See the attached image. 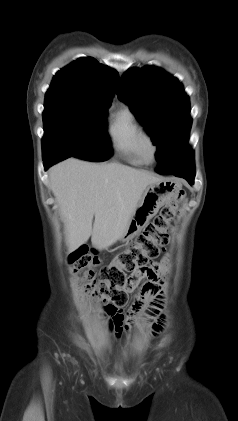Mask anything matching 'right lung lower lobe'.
Masks as SVG:
<instances>
[{
    "mask_svg": "<svg viewBox=\"0 0 238 421\" xmlns=\"http://www.w3.org/2000/svg\"><path fill=\"white\" fill-rule=\"evenodd\" d=\"M66 158H68L67 155H56V154H53L47 158H43L45 170H47L50 166Z\"/></svg>",
    "mask_w": 238,
    "mask_h": 421,
    "instance_id": "obj_1",
    "label": "right lung lower lobe"
}]
</instances>
